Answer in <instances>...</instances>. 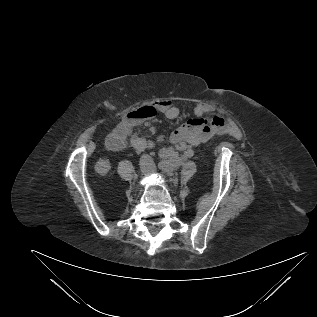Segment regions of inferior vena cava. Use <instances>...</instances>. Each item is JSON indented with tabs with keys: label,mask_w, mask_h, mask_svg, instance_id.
Masks as SVG:
<instances>
[{
	"label": "inferior vena cava",
	"mask_w": 317,
	"mask_h": 317,
	"mask_svg": "<svg viewBox=\"0 0 317 317\" xmlns=\"http://www.w3.org/2000/svg\"><path fill=\"white\" fill-rule=\"evenodd\" d=\"M140 165L144 168H153L154 162L148 155H142L140 158Z\"/></svg>",
	"instance_id": "1"
}]
</instances>
